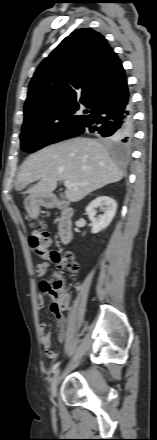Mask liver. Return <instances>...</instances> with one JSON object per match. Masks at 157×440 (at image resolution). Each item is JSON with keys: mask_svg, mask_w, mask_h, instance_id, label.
I'll return each mask as SVG.
<instances>
[{"mask_svg": "<svg viewBox=\"0 0 157 440\" xmlns=\"http://www.w3.org/2000/svg\"><path fill=\"white\" fill-rule=\"evenodd\" d=\"M123 176L103 144L79 137L49 145L30 155L21 166L16 190L21 191L38 181L25 193L49 195L58 181L69 180L74 186L67 188L65 197L70 202H78L92 191L120 181Z\"/></svg>", "mask_w": 157, "mask_h": 440, "instance_id": "obj_1", "label": "liver"}]
</instances>
